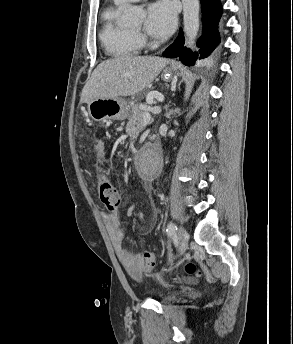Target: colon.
<instances>
[{
	"label": "colon",
	"mask_w": 293,
	"mask_h": 344,
	"mask_svg": "<svg viewBox=\"0 0 293 344\" xmlns=\"http://www.w3.org/2000/svg\"><path fill=\"white\" fill-rule=\"evenodd\" d=\"M97 190L102 203L110 210L117 208L119 204V195L111 182L107 178L100 179L97 184ZM155 255L150 251H145L143 254L144 271L146 273L151 272L155 267ZM185 272L192 275H199L200 271L197 265L193 262H187L185 264Z\"/></svg>",
	"instance_id": "1"
}]
</instances>
